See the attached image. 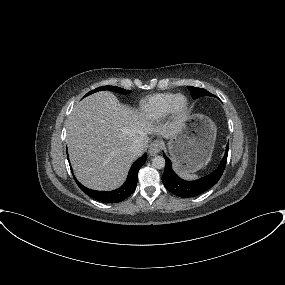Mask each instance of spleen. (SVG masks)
Instances as JSON below:
<instances>
[{"label":"spleen","mask_w":285,"mask_h":285,"mask_svg":"<svg viewBox=\"0 0 285 285\" xmlns=\"http://www.w3.org/2000/svg\"><path fill=\"white\" fill-rule=\"evenodd\" d=\"M181 176L185 179H190V180L197 178V175L190 173H181Z\"/></svg>","instance_id":"obj_1"}]
</instances>
